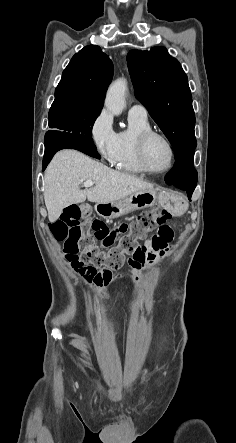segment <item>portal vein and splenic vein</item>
I'll use <instances>...</instances> for the list:
<instances>
[{"mask_svg":"<svg viewBox=\"0 0 236 443\" xmlns=\"http://www.w3.org/2000/svg\"><path fill=\"white\" fill-rule=\"evenodd\" d=\"M93 184H94V182L91 181V180H87V181H85V182L83 183L84 187H86V188H90V187H92Z\"/></svg>","mask_w":236,"mask_h":443,"instance_id":"1","label":"portal vein and splenic vein"}]
</instances>
